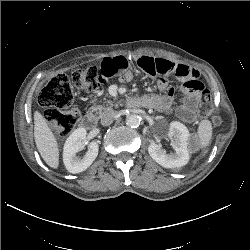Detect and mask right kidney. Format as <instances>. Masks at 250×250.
Masks as SVG:
<instances>
[{
  "mask_svg": "<svg viewBox=\"0 0 250 250\" xmlns=\"http://www.w3.org/2000/svg\"><path fill=\"white\" fill-rule=\"evenodd\" d=\"M86 134L85 128H78L67 138L64 144L63 162L70 173L76 174L85 171L98 155L99 146L96 142H92L83 158L76 156V153L83 147L82 141Z\"/></svg>",
  "mask_w": 250,
  "mask_h": 250,
  "instance_id": "obj_1",
  "label": "right kidney"
}]
</instances>
